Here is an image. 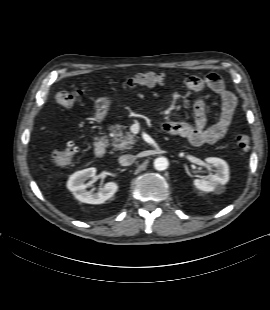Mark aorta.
Listing matches in <instances>:
<instances>
[{
  "label": "aorta",
  "mask_w": 270,
  "mask_h": 310,
  "mask_svg": "<svg viewBox=\"0 0 270 310\" xmlns=\"http://www.w3.org/2000/svg\"><path fill=\"white\" fill-rule=\"evenodd\" d=\"M168 164V160L165 157H158L154 160V168L158 171L167 169Z\"/></svg>",
  "instance_id": "obj_1"
}]
</instances>
